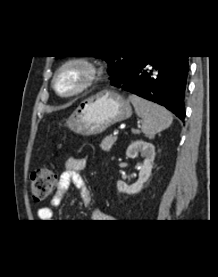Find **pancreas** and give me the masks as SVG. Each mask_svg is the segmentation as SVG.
Instances as JSON below:
<instances>
[{
    "label": "pancreas",
    "instance_id": "cf45deb5",
    "mask_svg": "<svg viewBox=\"0 0 218 277\" xmlns=\"http://www.w3.org/2000/svg\"><path fill=\"white\" fill-rule=\"evenodd\" d=\"M116 141H117L116 136H107L101 142L100 147L103 151L108 152L110 151V149L112 148V146L115 144Z\"/></svg>",
    "mask_w": 218,
    "mask_h": 277
}]
</instances>
